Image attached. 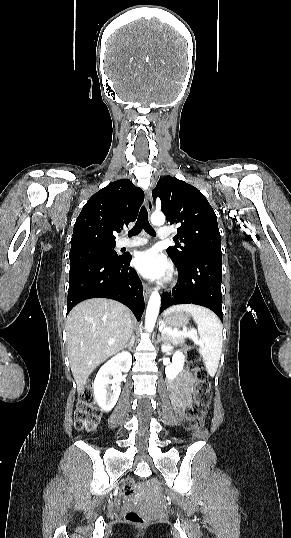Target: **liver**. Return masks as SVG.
<instances>
[{"instance_id": "liver-1", "label": "liver", "mask_w": 291, "mask_h": 538, "mask_svg": "<svg viewBox=\"0 0 291 538\" xmlns=\"http://www.w3.org/2000/svg\"><path fill=\"white\" fill-rule=\"evenodd\" d=\"M66 332L71 371L81 393L93 370L128 342L132 332L130 310L114 300H86L69 313Z\"/></svg>"}]
</instances>
